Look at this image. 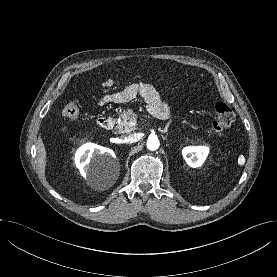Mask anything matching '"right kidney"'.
<instances>
[{"instance_id": "1", "label": "right kidney", "mask_w": 277, "mask_h": 277, "mask_svg": "<svg viewBox=\"0 0 277 277\" xmlns=\"http://www.w3.org/2000/svg\"><path fill=\"white\" fill-rule=\"evenodd\" d=\"M93 157L97 162L107 163V165H109L108 162L115 163L116 161V156L112 150L93 143H87L81 146L75 154V164L84 177L93 174L94 166L91 160Z\"/></svg>"}]
</instances>
